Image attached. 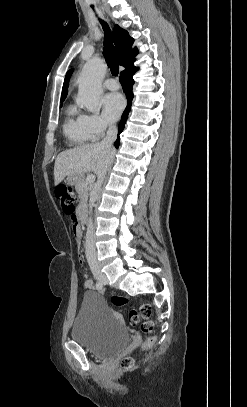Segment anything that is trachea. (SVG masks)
I'll return each instance as SVG.
<instances>
[{"label": "trachea", "mask_w": 247, "mask_h": 407, "mask_svg": "<svg viewBox=\"0 0 247 407\" xmlns=\"http://www.w3.org/2000/svg\"><path fill=\"white\" fill-rule=\"evenodd\" d=\"M102 27L105 32V38H104V57L105 60L111 70V73L114 76H117L119 73V68H118V62H117V56H116V50L114 48V45L112 43V34L111 30L106 22L101 21Z\"/></svg>", "instance_id": "1"}]
</instances>
